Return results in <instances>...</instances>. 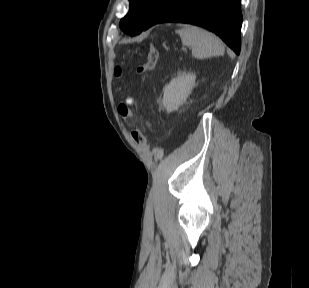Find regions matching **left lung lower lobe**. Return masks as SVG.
<instances>
[{"mask_svg": "<svg viewBox=\"0 0 309 288\" xmlns=\"http://www.w3.org/2000/svg\"><path fill=\"white\" fill-rule=\"evenodd\" d=\"M164 22L188 23L206 28L217 34L237 54L240 53V0H163L143 28L134 35Z\"/></svg>", "mask_w": 309, "mask_h": 288, "instance_id": "obj_1", "label": "left lung lower lobe"}]
</instances>
